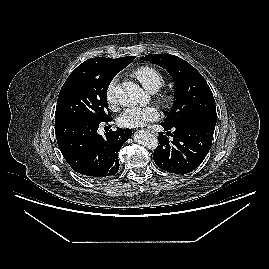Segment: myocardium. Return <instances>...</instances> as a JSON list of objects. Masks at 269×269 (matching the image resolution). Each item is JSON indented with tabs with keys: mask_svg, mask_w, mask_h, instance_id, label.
<instances>
[{
	"mask_svg": "<svg viewBox=\"0 0 269 269\" xmlns=\"http://www.w3.org/2000/svg\"><path fill=\"white\" fill-rule=\"evenodd\" d=\"M160 102L164 105L167 106L170 102V98L167 95H161L160 96Z\"/></svg>",
	"mask_w": 269,
	"mask_h": 269,
	"instance_id": "myocardium-1",
	"label": "myocardium"
}]
</instances>
